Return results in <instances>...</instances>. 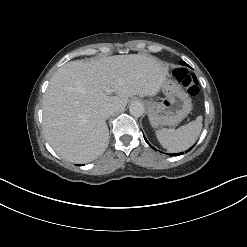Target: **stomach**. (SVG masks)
Returning <instances> with one entry per match:
<instances>
[{"mask_svg":"<svg viewBox=\"0 0 247 247\" xmlns=\"http://www.w3.org/2000/svg\"><path fill=\"white\" fill-rule=\"evenodd\" d=\"M165 98L161 102L147 101L148 116L153 127L179 124L192 110L189 95L171 76L161 86Z\"/></svg>","mask_w":247,"mask_h":247,"instance_id":"0dacf381","label":"stomach"}]
</instances>
